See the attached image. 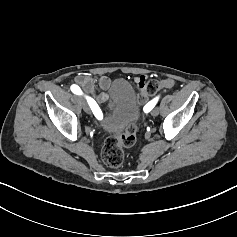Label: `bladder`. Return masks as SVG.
<instances>
[{
  "instance_id": "31cf9c89",
  "label": "bladder",
  "mask_w": 237,
  "mask_h": 237,
  "mask_svg": "<svg viewBox=\"0 0 237 237\" xmlns=\"http://www.w3.org/2000/svg\"><path fill=\"white\" fill-rule=\"evenodd\" d=\"M120 106L99 122L101 129L110 135H119L139 117V106L132 87L127 82L119 85Z\"/></svg>"
}]
</instances>
